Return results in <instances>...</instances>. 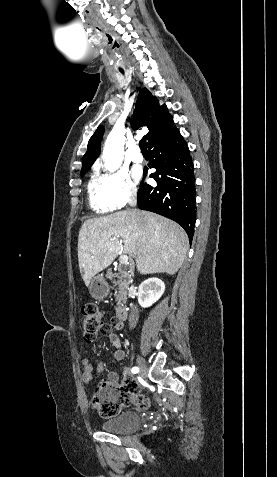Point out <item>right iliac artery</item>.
<instances>
[{
	"mask_svg": "<svg viewBox=\"0 0 277 477\" xmlns=\"http://www.w3.org/2000/svg\"><path fill=\"white\" fill-rule=\"evenodd\" d=\"M138 371H139V368H138V367H133V368H132V372H133V373H137Z\"/></svg>",
	"mask_w": 277,
	"mask_h": 477,
	"instance_id": "1",
	"label": "right iliac artery"
}]
</instances>
